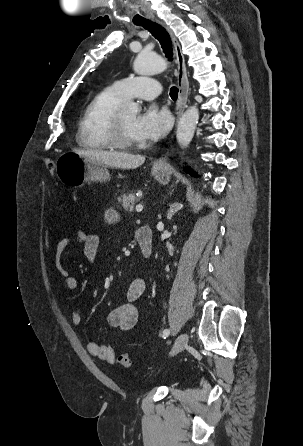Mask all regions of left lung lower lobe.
Wrapping results in <instances>:
<instances>
[{
  "mask_svg": "<svg viewBox=\"0 0 303 446\" xmlns=\"http://www.w3.org/2000/svg\"><path fill=\"white\" fill-rule=\"evenodd\" d=\"M186 172L191 174L192 176H196V173L192 172L190 168H187Z\"/></svg>",
  "mask_w": 303,
  "mask_h": 446,
  "instance_id": "left-lung-lower-lobe-1",
  "label": "left lung lower lobe"
}]
</instances>
